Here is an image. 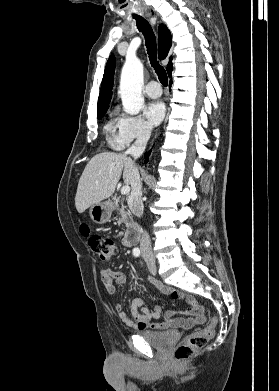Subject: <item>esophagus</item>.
<instances>
[{
  "label": "esophagus",
  "instance_id": "obj_1",
  "mask_svg": "<svg viewBox=\"0 0 279 391\" xmlns=\"http://www.w3.org/2000/svg\"><path fill=\"white\" fill-rule=\"evenodd\" d=\"M158 134H159V132H157V134H156V136H155V137H157V136H158Z\"/></svg>",
  "mask_w": 279,
  "mask_h": 391
}]
</instances>
